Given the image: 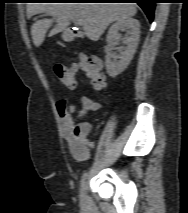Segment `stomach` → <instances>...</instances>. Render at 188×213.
<instances>
[{
    "label": "stomach",
    "instance_id": "0dacf381",
    "mask_svg": "<svg viewBox=\"0 0 188 213\" xmlns=\"http://www.w3.org/2000/svg\"><path fill=\"white\" fill-rule=\"evenodd\" d=\"M63 38H64L65 40H68V39H69V36H68L67 34H64V35H63Z\"/></svg>",
    "mask_w": 188,
    "mask_h": 213
}]
</instances>
